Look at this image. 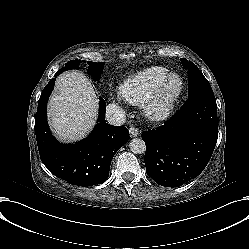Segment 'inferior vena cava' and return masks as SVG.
I'll use <instances>...</instances> for the list:
<instances>
[{"label": "inferior vena cava", "instance_id": "602c4592", "mask_svg": "<svg viewBox=\"0 0 249 249\" xmlns=\"http://www.w3.org/2000/svg\"><path fill=\"white\" fill-rule=\"evenodd\" d=\"M106 121L114 126L123 125L126 121L125 111L117 104H109L106 109Z\"/></svg>", "mask_w": 249, "mask_h": 249}]
</instances>
